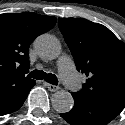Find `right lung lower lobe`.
Here are the masks:
<instances>
[{"label": "right lung lower lobe", "instance_id": "1", "mask_svg": "<svg viewBox=\"0 0 125 125\" xmlns=\"http://www.w3.org/2000/svg\"><path fill=\"white\" fill-rule=\"evenodd\" d=\"M35 81L24 85H16L0 91V116L10 114L18 110L27 98Z\"/></svg>", "mask_w": 125, "mask_h": 125}]
</instances>
